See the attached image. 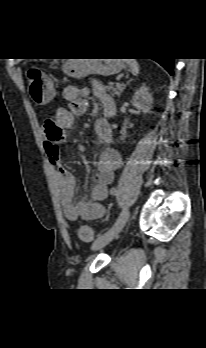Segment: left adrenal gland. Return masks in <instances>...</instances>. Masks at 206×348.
<instances>
[{
	"label": "left adrenal gland",
	"mask_w": 206,
	"mask_h": 348,
	"mask_svg": "<svg viewBox=\"0 0 206 348\" xmlns=\"http://www.w3.org/2000/svg\"><path fill=\"white\" fill-rule=\"evenodd\" d=\"M132 80H133V79H130L129 81H127L126 85L129 84ZM126 85H124V86L122 87V90L125 89Z\"/></svg>",
	"instance_id": "a2214340"
}]
</instances>
